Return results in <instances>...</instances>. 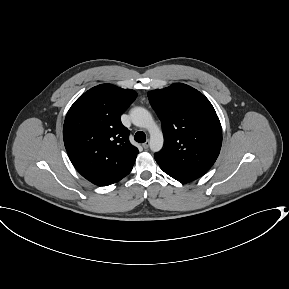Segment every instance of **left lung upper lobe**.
I'll return each instance as SVG.
<instances>
[{"label": "left lung upper lobe", "instance_id": "obj_1", "mask_svg": "<svg viewBox=\"0 0 289 289\" xmlns=\"http://www.w3.org/2000/svg\"><path fill=\"white\" fill-rule=\"evenodd\" d=\"M149 101L159 116L165 144L155 160L171 177L197 179L216 161L222 129L210 101L182 83L153 90Z\"/></svg>", "mask_w": 289, "mask_h": 289}]
</instances>
